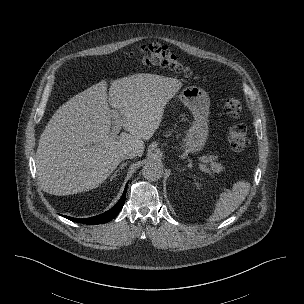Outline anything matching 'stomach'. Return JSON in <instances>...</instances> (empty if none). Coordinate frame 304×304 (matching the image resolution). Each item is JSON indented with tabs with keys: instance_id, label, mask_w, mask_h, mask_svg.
I'll return each instance as SVG.
<instances>
[{
	"instance_id": "obj_1",
	"label": "stomach",
	"mask_w": 304,
	"mask_h": 304,
	"mask_svg": "<svg viewBox=\"0 0 304 304\" xmlns=\"http://www.w3.org/2000/svg\"><path fill=\"white\" fill-rule=\"evenodd\" d=\"M179 99L194 116V122L186 132L182 147L190 153L199 152L208 137L209 96L203 89L189 86L181 91Z\"/></svg>"
}]
</instances>
